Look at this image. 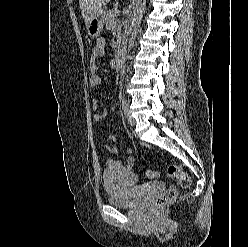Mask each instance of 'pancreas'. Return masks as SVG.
Returning <instances> with one entry per match:
<instances>
[{
    "label": "pancreas",
    "mask_w": 248,
    "mask_h": 247,
    "mask_svg": "<svg viewBox=\"0 0 248 247\" xmlns=\"http://www.w3.org/2000/svg\"><path fill=\"white\" fill-rule=\"evenodd\" d=\"M117 15V9H112L104 15V21L107 29L115 28Z\"/></svg>",
    "instance_id": "pancreas-1"
}]
</instances>
